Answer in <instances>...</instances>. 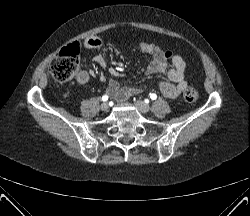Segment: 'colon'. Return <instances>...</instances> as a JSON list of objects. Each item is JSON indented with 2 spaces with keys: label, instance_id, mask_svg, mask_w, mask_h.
<instances>
[{
  "label": "colon",
  "instance_id": "obj_1",
  "mask_svg": "<svg viewBox=\"0 0 250 216\" xmlns=\"http://www.w3.org/2000/svg\"><path fill=\"white\" fill-rule=\"evenodd\" d=\"M80 47L74 43L63 48L50 64L51 76L59 82L71 80L79 67ZM183 99L187 103H194L198 99V91L194 85H189L183 94Z\"/></svg>",
  "mask_w": 250,
  "mask_h": 216
}]
</instances>
